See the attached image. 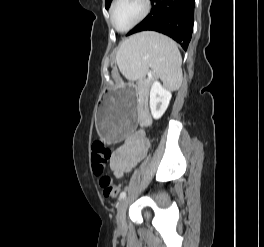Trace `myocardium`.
<instances>
[{
    "instance_id": "obj_1",
    "label": "myocardium",
    "mask_w": 264,
    "mask_h": 247,
    "mask_svg": "<svg viewBox=\"0 0 264 247\" xmlns=\"http://www.w3.org/2000/svg\"><path fill=\"white\" fill-rule=\"evenodd\" d=\"M118 2H119V0H113L112 4L110 6V9H109L110 23H111L112 27L118 32H127V31L133 29L135 26L140 24L148 16V14L150 13L151 8H152L151 0H142L143 11H142L141 15L131 25H129L128 27H126L124 29H120L115 25L114 20H113L114 9H115V6L117 5Z\"/></svg>"
}]
</instances>
